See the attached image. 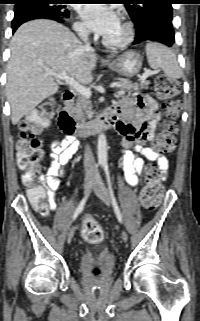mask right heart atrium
Listing matches in <instances>:
<instances>
[{
    "label": "right heart atrium",
    "instance_id": "obj_1",
    "mask_svg": "<svg viewBox=\"0 0 200 321\" xmlns=\"http://www.w3.org/2000/svg\"><path fill=\"white\" fill-rule=\"evenodd\" d=\"M74 29H75L76 33L80 36H86L88 34V31H87L85 25L80 21H78L74 24Z\"/></svg>",
    "mask_w": 200,
    "mask_h": 321
}]
</instances>
